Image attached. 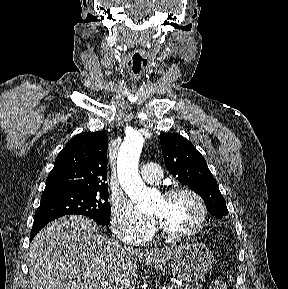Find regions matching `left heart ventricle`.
<instances>
[{
    "label": "left heart ventricle",
    "mask_w": 288,
    "mask_h": 289,
    "mask_svg": "<svg viewBox=\"0 0 288 289\" xmlns=\"http://www.w3.org/2000/svg\"><path fill=\"white\" fill-rule=\"evenodd\" d=\"M151 216L161 220L170 230L183 233L196 226L200 210L196 201L188 195H180L168 201L161 197L153 207Z\"/></svg>",
    "instance_id": "b2bd125f"
}]
</instances>
